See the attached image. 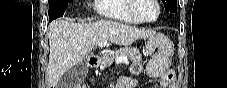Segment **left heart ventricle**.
Listing matches in <instances>:
<instances>
[{
    "label": "left heart ventricle",
    "instance_id": "obj_1",
    "mask_svg": "<svg viewBox=\"0 0 227 88\" xmlns=\"http://www.w3.org/2000/svg\"><path fill=\"white\" fill-rule=\"evenodd\" d=\"M137 13L142 19H154L158 9L152 0H138Z\"/></svg>",
    "mask_w": 227,
    "mask_h": 88
}]
</instances>
